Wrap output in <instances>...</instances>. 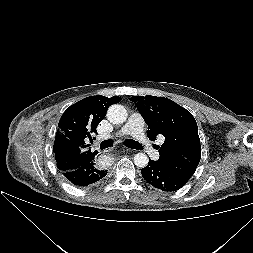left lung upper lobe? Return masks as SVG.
<instances>
[{"mask_svg":"<svg viewBox=\"0 0 253 253\" xmlns=\"http://www.w3.org/2000/svg\"><path fill=\"white\" fill-rule=\"evenodd\" d=\"M130 100L136 104L148 125V138L154 141L157 135L165 137L164 143L158 147V162L188 182L201 158L198 127L193 115L163 97L133 96Z\"/></svg>","mask_w":253,"mask_h":253,"instance_id":"obj_1","label":"left lung upper lobe"}]
</instances>
